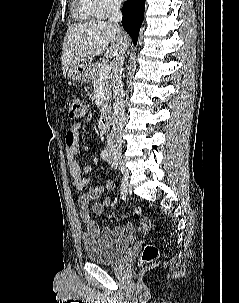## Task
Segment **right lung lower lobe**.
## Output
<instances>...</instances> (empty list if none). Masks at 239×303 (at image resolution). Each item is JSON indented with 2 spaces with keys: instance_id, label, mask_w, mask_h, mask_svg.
Wrapping results in <instances>:
<instances>
[{
  "instance_id": "98d812e1",
  "label": "right lung lower lobe",
  "mask_w": 239,
  "mask_h": 303,
  "mask_svg": "<svg viewBox=\"0 0 239 303\" xmlns=\"http://www.w3.org/2000/svg\"><path fill=\"white\" fill-rule=\"evenodd\" d=\"M145 0H127L122 8V25L137 44L139 29L144 19Z\"/></svg>"
}]
</instances>
